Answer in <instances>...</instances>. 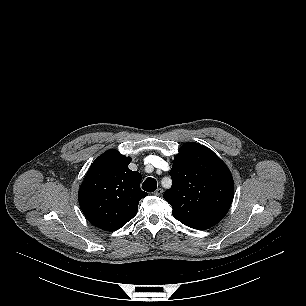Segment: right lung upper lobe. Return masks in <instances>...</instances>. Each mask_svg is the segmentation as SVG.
Wrapping results in <instances>:
<instances>
[{
  "label": "right lung upper lobe",
  "instance_id": "right-lung-upper-lobe-1",
  "mask_svg": "<svg viewBox=\"0 0 306 306\" xmlns=\"http://www.w3.org/2000/svg\"><path fill=\"white\" fill-rule=\"evenodd\" d=\"M130 157L109 150L90 166L79 189V204L96 227L115 231L137 213L138 202L148 194L140 189L142 175L128 168Z\"/></svg>",
  "mask_w": 306,
  "mask_h": 306
}]
</instances>
